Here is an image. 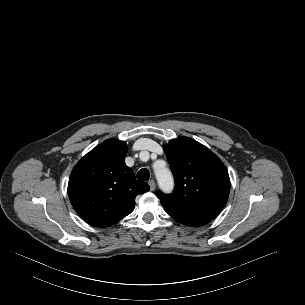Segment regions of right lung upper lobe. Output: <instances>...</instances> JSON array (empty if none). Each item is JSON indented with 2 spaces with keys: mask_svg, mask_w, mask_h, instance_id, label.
Listing matches in <instances>:
<instances>
[{
  "mask_svg": "<svg viewBox=\"0 0 305 305\" xmlns=\"http://www.w3.org/2000/svg\"><path fill=\"white\" fill-rule=\"evenodd\" d=\"M125 142L108 139L74 167L69 178L70 202L87 223L108 227L128 214L135 206V197L149 191L147 183L136 180L124 161Z\"/></svg>",
  "mask_w": 305,
  "mask_h": 305,
  "instance_id": "cb5924a9",
  "label": "right lung upper lobe"
}]
</instances>
